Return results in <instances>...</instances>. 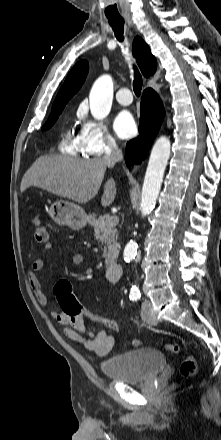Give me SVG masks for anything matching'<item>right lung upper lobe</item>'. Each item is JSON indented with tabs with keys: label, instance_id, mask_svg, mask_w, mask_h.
Instances as JSON below:
<instances>
[{
	"label": "right lung upper lobe",
	"instance_id": "obj_1",
	"mask_svg": "<svg viewBox=\"0 0 221 440\" xmlns=\"http://www.w3.org/2000/svg\"><path fill=\"white\" fill-rule=\"evenodd\" d=\"M132 51L143 75L149 77L154 74L157 66L156 59L141 37L136 36L134 38ZM87 73L88 62L86 60H81L75 64L69 72L63 86L60 88L52 105V109L60 106L65 107L67 102L78 92L84 83Z\"/></svg>",
	"mask_w": 221,
	"mask_h": 440
}]
</instances>
